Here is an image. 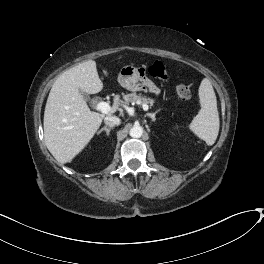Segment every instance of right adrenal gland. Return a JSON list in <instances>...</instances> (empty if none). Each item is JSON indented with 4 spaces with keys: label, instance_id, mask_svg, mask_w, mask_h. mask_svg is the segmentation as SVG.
I'll list each match as a JSON object with an SVG mask.
<instances>
[{
    "label": "right adrenal gland",
    "instance_id": "obj_1",
    "mask_svg": "<svg viewBox=\"0 0 264 264\" xmlns=\"http://www.w3.org/2000/svg\"><path fill=\"white\" fill-rule=\"evenodd\" d=\"M111 129H113V128H112V127H107V126H105V127L101 128V129L98 131V134H100L102 131H105L106 134H107V136H109V134H110V130H111Z\"/></svg>",
    "mask_w": 264,
    "mask_h": 264
}]
</instances>
